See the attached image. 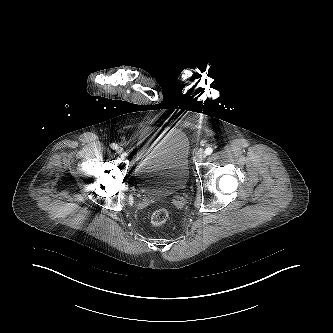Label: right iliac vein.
I'll use <instances>...</instances> for the list:
<instances>
[{"mask_svg":"<svg viewBox=\"0 0 333 333\" xmlns=\"http://www.w3.org/2000/svg\"><path fill=\"white\" fill-rule=\"evenodd\" d=\"M119 154H122L123 153V149L122 148H118V151H117Z\"/></svg>","mask_w":333,"mask_h":333,"instance_id":"right-iliac-vein-1","label":"right iliac vein"}]
</instances>
